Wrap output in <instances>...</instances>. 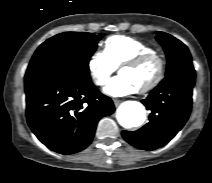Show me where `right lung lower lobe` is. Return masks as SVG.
<instances>
[{
	"label": "right lung lower lobe",
	"instance_id": "98d812e1",
	"mask_svg": "<svg viewBox=\"0 0 212 183\" xmlns=\"http://www.w3.org/2000/svg\"><path fill=\"white\" fill-rule=\"evenodd\" d=\"M25 92L28 125L44 145L61 154L85 149L98 121L115 111L90 76L26 73Z\"/></svg>",
	"mask_w": 212,
	"mask_h": 183
}]
</instances>
